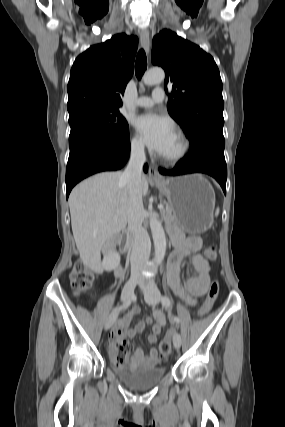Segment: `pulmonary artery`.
I'll use <instances>...</instances> for the list:
<instances>
[{"label": "pulmonary artery", "instance_id": "e3ab8cb5", "mask_svg": "<svg viewBox=\"0 0 285 427\" xmlns=\"http://www.w3.org/2000/svg\"><path fill=\"white\" fill-rule=\"evenodd\" d=\"M165 97L164 90L160 87L154 89L151 96H142L136 100V105L138 107L150 108L156 103L163 101Z\"/></svg>", "mask_w": 285, "mask_h": 427}]
</instances>
